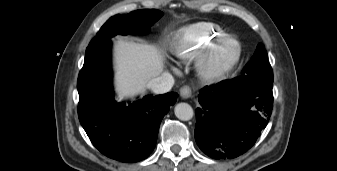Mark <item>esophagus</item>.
Masks as SVG:
<instances>
[{"mask_svg": "<svg viewBox=\"0 0 337 171\" xmlns=\"http://www.w3.org/2000/svg\"><path fill=\"white\" fill-rule=\"evenodd\" d=\"M180 95H181V97L184 98V99L190 98L191 95H192V90H191V88H190L189 86H187V85L181 87V89H180Z\"/></svg>", "mask_w": 337, "mask_h": 171, "instance_id": "esophagus-1", "label": "esophagus"}]
</instances>
